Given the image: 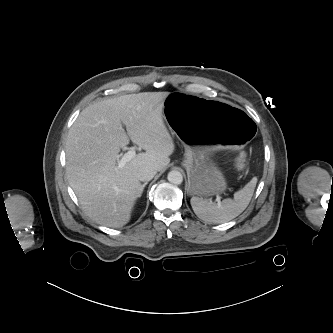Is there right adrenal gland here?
Here are the masks:
<instances>
[{
	"label": "right adrenal gland",
	"mask_w": 333,
	"mask_h": 333,
	"mask_svg": "<svg viewBox=\"0 0 333 333\" xmlns=\"http://www.w3.org/2000/svg\"><path fill=\"white\" fill-rule=\"evenodd\" d=\"M147 185V182L141 185V190L144 189V187Z\"/></svg>",
	"instance_id": "1"
}]
</instances>
